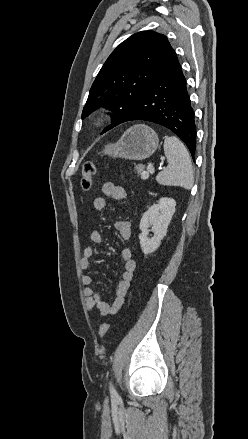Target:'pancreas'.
Masks as SVG:
<instances>
[{"instance_id": "1", "label": "pancreas", "mask_w": 248, "mask_h": 439, "mask_svg": "<svg viewBox=\"0 0 248 439\" xmlns=\"http://www.w3.org/2000/svg\"><path fill=\"white\" fill-rule=\"evenodd\" d=\"M135 170L137 171L138 175H140L141 178H142L143 173H144V166L143 165H137V166H135Z\"/></svg>"}]
</instances>
